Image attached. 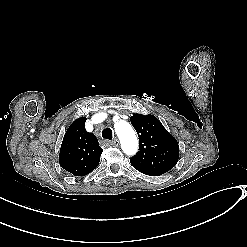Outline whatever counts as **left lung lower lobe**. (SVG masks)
<instances>
[{"mask_svg": "<svg viewBox=\"0 0 247 247\" xmlns=\"http://www.w3.org/2000/svg\"><path fill=\"white\" fill-rule=\"evenodd\" d=\"M142 172L143 174H146V175H150V176H159L161 174H158V173H154V172H146V171H140Z\"/></svg>", "mask_w": 247, "mask_h": 247, "instance_id": "1", "label": "left lung lower lobe"}]
</instances>
